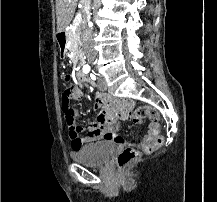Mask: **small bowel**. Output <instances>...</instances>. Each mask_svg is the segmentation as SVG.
Masks as SVG:
<instances>
[{"label":"small bowel","mask_w":217,"mask_h":202,"mask_svg":"<svg viewBox=\"0 0 217 202\" xmlns=\"http://www.w3.org/2000/svg\"><path fill=\"white\" fill-rule=\"evenodd\" d=\"M70 99L81 100L83 93L78 86L69 85ZM110 95L104 92H97L94 95L93 108L97 112L96 121L91 122L87 128V135L82 139L81 132H85V127L74 126L73 131H69L67 141L71 142V147H82L83 143H92L101 139L113 140L116 143L124 144L122 136L114 132L113 121H122L129 117V113H133L135 104L133 101H108ZM74 115V113H73ZM159 134L158 123L150 122L143 139L134 145L144 146L152 141Z\"/></svg>","instance_id":"small-bowel-1"}]
</instances>
